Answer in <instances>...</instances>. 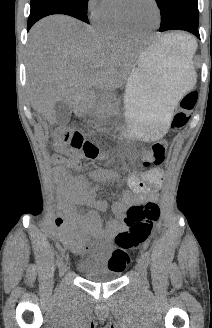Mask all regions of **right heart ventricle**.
I'll use <instances>...</instances> for the list:
<instances>
[{
    "label": "right heart ventricle",
    "mask_w": 212,
    "mask_h": 328,
    "mask_svg": "<svg viewBox=\"0 0 212 328\" xmlns=\"http://www.w3.org/2000/svg\"><path fill=\"white\" fill-rule=\"evenodd\" d=\"M97 25L100 30L112 36H128L133 34L121 23L115 2L111 3L105 14L97 21Z\"/></svg>",
    "instance_id": "obj_1"
}]
</instances>
